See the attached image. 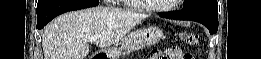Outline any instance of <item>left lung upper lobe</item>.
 <instances>
[{
	"instance_id": "left-lung-upper-lobe-1",
	"label": "left lung upper lobe",
	"mask_w": 261,
	"mask_h": 59,
	"mask_svg": "<svg viewBox=\"0 0 261 59\" xmlns=\"http://www.w3.org/2000/svg\"><path fill=\"white\" fill-rule=\"evenodd\" d=\"M183 7L184 9L202 7L218 10L217 0H185Z\"/></svg>"
}]
</instances>
